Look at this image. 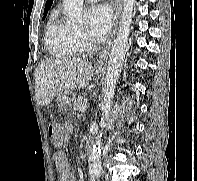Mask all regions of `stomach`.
I'll list each match as a JSON object with an SVG mask.
<instances>
[{
	"label": "stomach",
	"mask_w": 197,
	"mask_h": 181,
	"mask_svg": "<svg viewBox=\"0 0 197 181\" xmlns=\"http://www.w3.org/2000/svg\"><path fill=\"white\" fill-rule=\"evenodd\" d=\"M97 72H101V70H97ZM74 98L75 94L71 90H64L57 94L56 102L61 110H67Z\"/></svg>",
	"instance_id": "obj_1"
}]
</instances>
